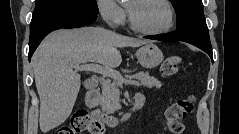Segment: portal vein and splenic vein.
I'll list each match as a JSON object with an SVG mask.
<instances>
[{
  "label": "portal vein and splenic vein",
  "mask_w": 239,
  "mask_h": 134,
  "mask_svg": "<svg viewBox=\"0 0 239 134\" xmlns=\"http://www.w3.org/2000/svg\"><path fill=\"white\" fill-rule=\"evenodd\" d=\"M74 67L80 71H82V70L93 71V72L103 75V77H111L114 80L118 81V83L120 85H122L123 83H128V84H133V85L140 84L139 81H136V80H131V79L126 80L122 77V75L118 71L113 70L112 68H109V67L98 65V64L76 63V64H74Z\"/></svg>",
  "instance_id": "1"
}]
</instances>
